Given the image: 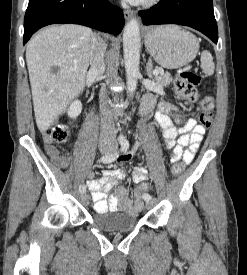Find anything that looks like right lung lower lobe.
Instances as JSON below:
<instances>
[{
  "label": "right lung lower lobe",
  "mask_w": 247,
  "mask_h": 275,
  "mask_svg": "<svg viewBox=\"0 0 247 275\" xmlns=\"http://www.w3.org/2000/svg\"><path fill=\"white\" fill-rule=\"evenodd\" d=\"M55 23L81 24L117 35L124 26V16L107 0H29L23 44L38 29Z\"/></svg>",
  "instance_id": "obj_1"
}]
</instances>
